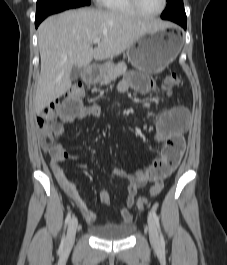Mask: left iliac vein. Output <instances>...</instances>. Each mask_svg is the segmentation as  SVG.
Returning <instances> with one entry per match:
<instances>
[{"instance_id": "4c4485c4", "label": "left iliac vein", "mask_w": 227, "mask_h": 265, "mask_svg": "<svg viewBox=\"0 0 227 265\" xmlns=\"http://www.w3.org/2000/svg\"><path fill=\"white\" fill-rule=\"evenodd\" d=\"M147 222H148V231H149L150 241L153 245H158L160 240L158 236L157 227H156L153 217L150 214L148 215Z\"/></svg>"}]
</instances>
